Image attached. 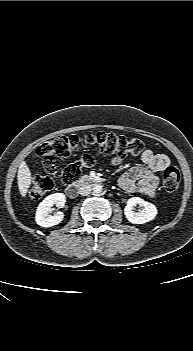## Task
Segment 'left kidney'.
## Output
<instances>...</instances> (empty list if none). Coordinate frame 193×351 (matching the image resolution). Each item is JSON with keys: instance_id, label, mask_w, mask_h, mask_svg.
<instances>
[{"instance_id": "1", "label": "left kidney", "mask_w": 193, "mask_h": 351, "mask_svg": "<svg viewBox=\"0 0 193 351\" xmlns=\"http://www.w3.org/2000/svg\"><path fill=\"white\" fill-rule=\"evenodd\" d=\"M139 205L142 208L135 212L133 207ZM158 211L155 205L150 202L144 201L139 197H132L127 201V205L124 208V214L127 220L133 224H144L153 220Z\"/></svg>"}]
</instances>
